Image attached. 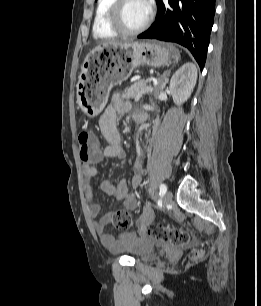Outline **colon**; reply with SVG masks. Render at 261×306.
Masks as SVG:
<instances>
[{"instance_id":"5ec220e1","label":"colon","mask_w":261,"mask_h":306,"mask_svg":"<svg viewBox=\"0 0 261 306\" xmlns=\"http://www.w3.org/2000/svg\"><path fill=\"white\" fill-rule=\"evenodd\" d=\"M79 155L83 164L97 161L101 156V146L90 130H82L78 135ZM111 223L118 230H129L132 217L125 210L111 212ZM146 234L152 239L169 243L176 247L187 246L192 241L191 234L183 229L153 224L146 228Z\"/></svg>"}]
</instances>
